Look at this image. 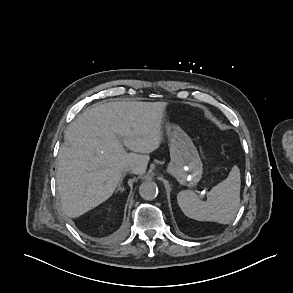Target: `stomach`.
<instances>
[{"label":"stomach","mask_w":293,"mask_h":293,"mask_svg":"<svg viewBox=\"0 0 293 293\" xmlns=\"http://www.w3.org/2000/svg\"><path fill=\"white\" fill-rule=\"evenodd\" d=\"M171 161L167 172L181 185L193 187L202 177L203 165L191 138L177 125L167 124Z\"/></svg>","instance_id":"stomach-1"}]
</instances>
